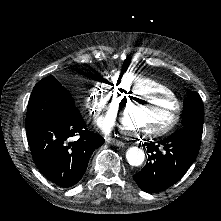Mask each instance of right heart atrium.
<instances>
[{"label": "right heart atrium", "instance_id": "obj_1", "mask_svg": "<svg viewBox=\"0 0 221 221\" xmlns=\"http://www.w3.org/2000/svg\"><path fill=\"white\" fill-rule=\"evenodd\" d=\"M87 96V103L92 111L103 113L110 110L118 100L112 77L110 75L104 76L91 87Z\"/></svg>", "mask_w": 221, "mask_h": 221}]
</instances>
